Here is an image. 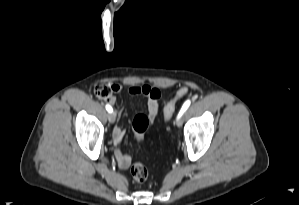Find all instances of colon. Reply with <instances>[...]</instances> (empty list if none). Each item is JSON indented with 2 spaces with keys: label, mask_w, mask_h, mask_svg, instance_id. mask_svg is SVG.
<instances>
[{
  "label": "colon",
  "mask_w": 299,
  "mask_h": 205,
  "mask_svg": "<svg viewBox=\"0 0 299 205\" xmlns=\"http://www.w3.org/2000/svg\"><path fill=\"white\" fill-rule=\"evenodd\" d=\"M114 91H115L114 87L109 84H99L94 89V93L97 98L108 102L113 101ZM188 92L189 89L187 87H183L179 89L175 94V96L167 103L164 109V120L166 122L169 121L173 116L177 101L183 98L184 96H186ZM148 125H149V120L145 114H137L134 117L132 126L134 130L135 138L138 142H142L144 133ZM130 174L134 181L138 183H142L146 181L148 177V170L143 164L137 162L131 166Z\"/></svg>",
  "instance_id": "obj_1"
}]
</instances>
